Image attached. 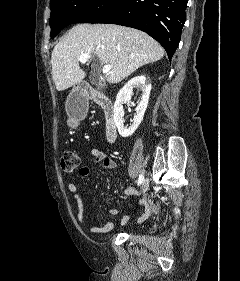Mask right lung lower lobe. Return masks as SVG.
Instances as JSON below:
<instances>
[{"label": "right lung lower lobe", "mask_w": 240, "mask_h": 281, "mask_svg": "<svg viewBox=\"0 0 240 281\" xmlns=\"http://www.w3.org/2000/svg\"><path fill=\"white\" fill-rule=\"evenodd\" d=\"M188 0H118L92 23H112L142 30L157 40L169 59L178 47Z\"/></svg>", "instance_id": "obj_1"}]
</instances>
